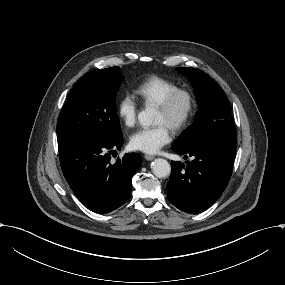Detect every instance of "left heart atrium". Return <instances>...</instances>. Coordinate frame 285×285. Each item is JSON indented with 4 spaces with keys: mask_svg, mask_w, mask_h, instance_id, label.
Wrapping results in <instances>:
<instances>
[{
    "mask_svg": "<svg viewBox=\"0 0 285 285\" xmlns=\"http://www.w3.org/2000/svg\"><path fill=\"white\" fill-rule=\"evenodd\" d=\"M171 129L167 124L159 123L144 128L131 137V145L143 152L154 153L170 140Z\"/></svg>",
    "mask_w": 285,
    "mask_h": 285,
    "instance_id": "obj_1",
    "label": "left heart atrium"
}]
</instances>
